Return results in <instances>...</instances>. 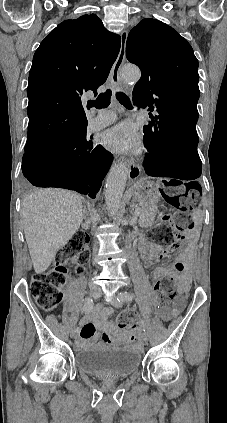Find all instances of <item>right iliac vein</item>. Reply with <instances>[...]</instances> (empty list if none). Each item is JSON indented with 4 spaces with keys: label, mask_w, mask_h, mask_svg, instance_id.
<instances>
[{
    "label": "right iliac vein",
    "mask_w": 227,
    "mask_h": 423,
    "mask_svg": "<svg viewBox=\"0 0 227 423\" xmlns=\"http://www.w3.org/2000/svg\"><path fill=\"white\" fill-rule=\"evenodd\" d=\"M89 295L93 298H98L101 295V291L98 288L95 287H91L89 289ZM78 335V333L76 332V329H72L70 332V336L72 338L76 337Z\"/></svg>",
    "instance_id": "obj_1"
}]
</instances>
